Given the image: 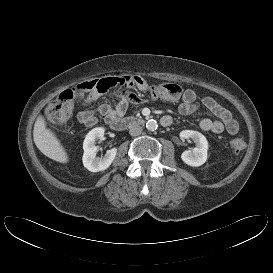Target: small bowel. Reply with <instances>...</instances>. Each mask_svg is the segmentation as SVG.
<instances>
[{"instance_id": "small-bowel-1", "label": "small bowel", "mask_w": 273, "mask_h": 273, "mask_svg": "<svg viewBox=\"0 0 273 273\" xmlns=\"http://www.w3.org/2000/svg\"><path fill=\"white\" fill-rule=\"evenodd\" d=\"M137 87L140 91L148 92L150 87L148 83L137 77ZM96 96L91 97L84 105H87L91 100L95 99ZM199 99V95L192 89H187L182 95L181 103L178 106V112L181 115H191L199 110V105L196 103ZM141 102V97L138 94L132 93V97L121 98L114 105L101 104L96 110L87 109L78 113V121L86 126H94L97 124V113L105 117L106 121L113 116H123L128 108L129 103L138 104ZM201 105L210 111L216 119L203 118L199 122V127L203 131H210L216 134L226 131L227 133L234 135L239 131V124L233 118L232 114L225 107L220 105L214 98L210 96H204L200 99ZM168 117L171 122L172 119Z\"/></svg>"}]
</instances>
